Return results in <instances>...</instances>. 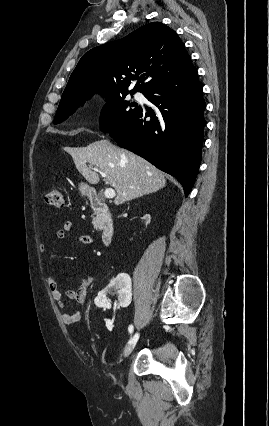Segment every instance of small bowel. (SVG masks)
<instances>
[{"label":"small bowel","instance_id":"c3829d8e","mask_svg":"<svg viewBox=\"0 0 269 426\" xmlns=\"http://www.w3.org/2000/svg\"><path fill=\"white\" fill-rule=\"evenodd\" d=\"M72 231L73 224L72 222L67 221L63 224L62 228L57 231L56 237L57 239L62 240L68 235L72 234ZM74 239L77 242L85 245H92L94 242L93 237L86 234L74 235ZM40 250L44 252L46 250L45 245H41ZM93 281V275L87 273L80 279L79 284L76 288L64 290L66 282L65 277H62L59 280L51 275L47 277V285L51 291L52 298L55 301L65 323H76L77 321H79L81 316L78 310L70 309L67 306L65 299H69L81 304L84 303L88 297Z\"/></svg>","mask_w":269,"mask_h":426}]
</instances>
